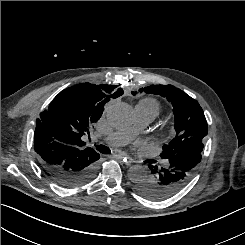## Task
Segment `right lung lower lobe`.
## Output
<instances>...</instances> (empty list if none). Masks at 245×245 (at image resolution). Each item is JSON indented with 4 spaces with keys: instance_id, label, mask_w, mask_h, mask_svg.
<instances>
[{
    "instance_id": "98d812e1",
    "label": "right lung lower lobe",
    "mask_w": 245,
    "mask_h": 245,
    "mask_svg": "<svg viewBox=\"0 0 245 245\" xmlns=\"http://www.w3.org/2000/svg\"><path fill=\"white\" fill-rule=\"evenodd\" d=\"M98 153L83 155L65 161L63 164L49 166L40 162L43 171L58 185L64 188L82 186L94 178L97 171Z\"/></svg>"
}]
</instances>
